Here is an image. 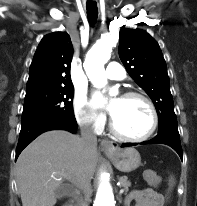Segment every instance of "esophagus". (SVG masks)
Listing matches in <instances>:
<instances>
[{
    "label": "esophagus",
    "instance_id": "obj_1",
    "mask_svg": "<svg viewBox=\"0 0 197 206\" xmlns=\"http://www.w3.org/2000/svg\"><path fill=\"white\" fill-rule=\"evenodd\" d=\"M100 146H101V149L106 154H112L118 148V144L116 142H112V141H109V140H102L101 143H100Z\"/></svg>",
    "mask_w": 197,
    "mask_h": 206
}]
</instances>
